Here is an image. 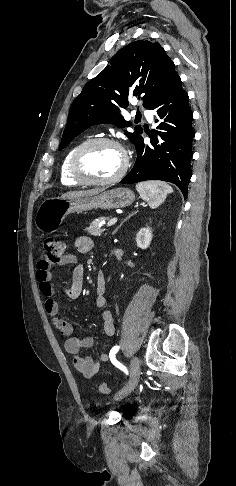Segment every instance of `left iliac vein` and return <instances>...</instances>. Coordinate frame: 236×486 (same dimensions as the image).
Masks as SVG:
<instances>
[{
  "mask_svg": "<svg viewBox=\"0 0 236 486\" xmlns=\"http://www.w3.org/2000/svg\"><path fill=\"white\" fill-rule=\"evenodd\" d=\"M140 362L139 359L134 356L130 362V380L129 382L115 395L114 399L119 400L129 395L138 385L140 378Z\"/></svg>",
  "mask_w": 236,
  "mask_h": 486,
  "instance_id": "1",
  "label": "left iliac vein"
}]
</instances>
